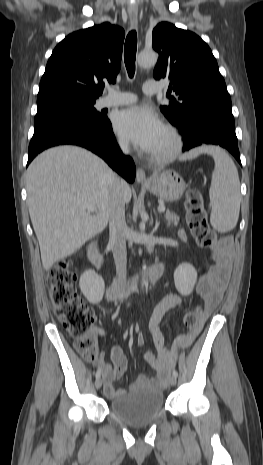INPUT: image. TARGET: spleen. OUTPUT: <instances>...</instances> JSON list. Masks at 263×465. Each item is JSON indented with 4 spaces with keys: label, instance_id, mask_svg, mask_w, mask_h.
<instances>
[{
    "label": "spleen",
    "instance_id": "1",
    "mask_svg": "<svg viewBox=\"0 0 263 465\" xmlns=\"http://www.w3.org/2000/svg\"><path fill=\"white\" fill-rule=\"evenodd\" d=\"M201 153L212 155L215 167L209 189L211 216L210 223L218 232L235 228L240 210V181L238 171L227 153L216 146H202L184 155L191 159Z\"/></svg>",
    "mask_w": 263,
    "mask_h": 465
}]
</instances>
